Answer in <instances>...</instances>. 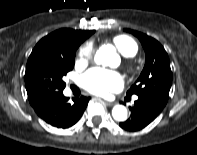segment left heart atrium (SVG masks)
Wrapping results in <instances>:
<instances>
[{
  "label": "left heart atrium",
  "instance_id": "left-heart-atrium-1",
  "mask_svg": "<svg viewBox=\"0 0 197 155\" xmlns=\"http://www.w3.org/2000/svg\"><path fill=\"white\" fill-rule=\"evenodd\" d=\"M82 86L92 94L106 96L123 87L121 75L115 71L93 68L82 76Z\"/></svg>",
  "mask_w": 197,
  "mask_h": 155
}]
</instances>
